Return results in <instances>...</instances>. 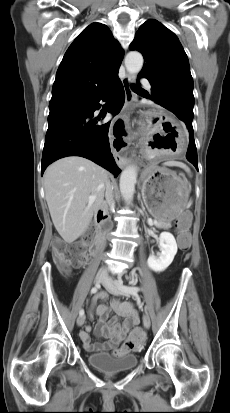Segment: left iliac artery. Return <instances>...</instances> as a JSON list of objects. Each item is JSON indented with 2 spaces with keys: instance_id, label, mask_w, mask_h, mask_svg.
Wrapping results in <instances>:
<instances>
[{
  "instance_id": "left-iliac-artery-1",
  "label": "left iliac artery",
  "mask_w": 230,
  "mask_h": 413,
  "mask_svg": "<svg viewBox=\"0 0 230 413\" xmlns=\"http://www.w3.org/2000/svg\"><path fill=\"white\" fill-rule=\"evenodd\" d=\"M119 289L127 294V295H133V296H138V292L141 290V288L137 286H126V285H119Z\"/></svg>"
}]
</instances>
